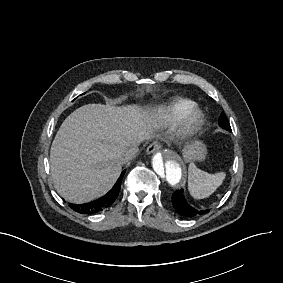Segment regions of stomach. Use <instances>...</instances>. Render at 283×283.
Returning a JSON list of instances; mask_svg holds the SVG:
<instances>
[{"label": "stomach", "instance_id": "1", "mask_svg": "<svg viewBox=\"0 0 283 283\" xmlns=\"http://www.w3.org/2000/svg\"><path fill=\"white\" fill-rule=\"evenodd\" d=\"M185 161H204L207 155L206 145L199 140L187 142L182 150Z\"/></svg>", "mask_w": 283, "mask_h": 283}]
</instances>
